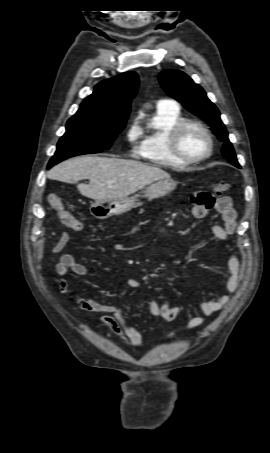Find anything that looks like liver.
Listing matches in <instances>:
<instances>
[{
    "mask_svg": "<svg viewBox=\"0 0 270 453\" xmlns=\"http://www.w3.org/2000/svg\"><path fill=\"white\" fill-rule=\"evenodd\" d=\"M47 176L69 184L89 179V184H78L77 188L83 196L94 200L125 198L148 184L170 178L161 168L140 161L98 156L65 160Z\"/></svg>",
    "mask_w": 270,
    "mask_h": 453,
    "instance_id": "1",
    "label": "liver"
}]
</instances>
